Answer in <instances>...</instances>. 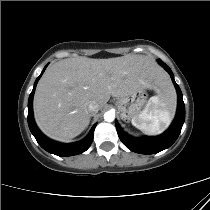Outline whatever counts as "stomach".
<instances>
[{"label":"stomach","instance_id":"stomach-1","mask_svg":"<svg viewBox=\"0 0 210 210\" xmlns=\"http://www.w3.org/2000/svg\"><path fill=\"white\" fill-rule=\"evenodd\" d=\"M147 101V93L145 90L137 91L129 96L118 98L116 106L120 117L124 121L138 116L144 104Z\"/></svg>","mask_w":210,"mask_h":210}]
</instances>
